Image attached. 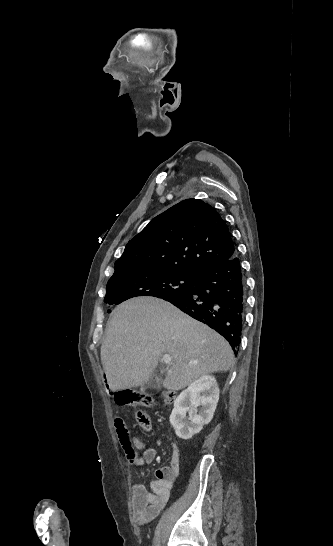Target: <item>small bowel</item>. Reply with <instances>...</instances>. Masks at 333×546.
Returning <instances> with one entry per match:
<instances>
[{
    "label": "small bowel",
    "instance_id": "obj_1",
    "mask_svg": "<svg viewBox=\"0 0 333 546\" xmlns=\"http://www.w3.org/2000/svg\"><path fill=\"white\" fill-rule=\"evenodd\" d=\"M132 443L136 449L143 450L142 454L129 460L141 476V468L153 461L156 451L153 448L146 449L144 442L137 437L133 438ZM179 468V450L177 445L173 443L170 466L157 471V479L151 483L150 490H147L141 482H138L133 488L132 514L135 522L143 525L154 519L164 508L170 498V487L179 473Z\"/></svg>",
    "mask_w": 333,
    "mask_h": 546
}]
</instances>
